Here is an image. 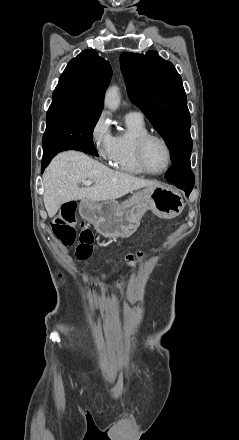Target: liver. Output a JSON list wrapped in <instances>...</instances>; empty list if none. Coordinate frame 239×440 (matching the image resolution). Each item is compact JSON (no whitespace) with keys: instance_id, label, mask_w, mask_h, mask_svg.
I'll list each match as a JSON object with an SVG mask.
<instances>
[{"instance_id":"1","label":"liver","mask_w":239,"mask_h":440,"mask_svg":"<svg viewBox=\"0 0 239 440\" xmlns=\"http://www.w3.org/2000/svg\"><path fill=\"white\" fill-rule=\"evenodd\" d=\"M84 180H91L95 184L90 188H79V184ZM43 186L44 206L49 218H54L61 204L71 200H117L133 190H154L160 184L111 170L82 152H62L55 156L46 168Z\"/></svg>"}]
</instances>
